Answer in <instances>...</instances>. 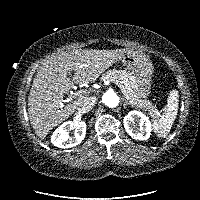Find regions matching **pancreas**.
<instances>
[{"instance_id": "obj_1", "label": "pancreas", "mask_w": 200, "mask_h": 200, "mask_svg": "<svg viewBox=\"0 0 200 200\" xmlns=\"http://www.w3.org/2000/svg\"><path fill=\"white\" fill-rule=\"evenodd\" d=\"M101 79L102 80H111V79L118 80L121 84L125 85L128 96L133 105H135L137 108H141L144 111H147L148 114L153 118H156L159 115L155 105H152L149 101L142 100L138 97L135 91V78L134 76H132V74L124 70H109L102 75Z\"/></svg>"}]
</instances>
